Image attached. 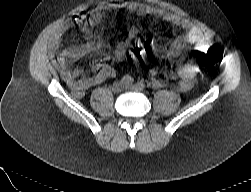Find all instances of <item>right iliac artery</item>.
<instances>
[{"mask_svg":"<svg viewBox=\"0 0 251 192\" xmlns=\"http://www.w3.org/2000/svg\"><path fill=\"white\" fill-rule=\"evenodd\" d=\"M133 78L131 77V76H129V75H125V76H123L122 77V82L124 83V84H132L133 83Z\"/></svg>","mask_w":251,"mask_h":192,"instance_id":"1","label":"right iliac artery"}]
</instances>
